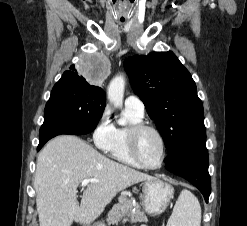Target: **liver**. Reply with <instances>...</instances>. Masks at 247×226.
<instances>
[{"label": "liver", "mask_w": 247, "mask_h": 226, "mask_svg": "<svg viewBox=\"0 0 247 226\" xmlns=\"http://www.w3.org/2000/svg\"><path fill=\"white\" fill-rule=\"evenodd\" d=\"M153 178L115 162L82 139L62 135L49 141L38 155L34 175L40 226L90 224L120 191ZM84 179H96L84 190L81 203L77 188Z\"/></svg>", "instance_id": "obj_1"}]
</instances>
